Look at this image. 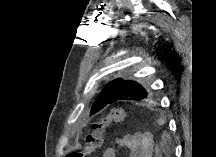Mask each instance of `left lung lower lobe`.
I'll use <instances>...</instances> for the list:
<instances>
[{
	"mask_svg": "<svg viewBox=\"0 0 216 157\" xmlns=\"http://www.w3.org/2000/svg\"><path fill=\"white\" fill-rule=\"evenodd\" d=\"M103 106L104 105H99L98 103L94 102L92 107H94L95 110L92 113L90 112L91 115H93V114L97 113L98 111H100L101 109H103L104 108Z\"/></svg>",
	"mask_w": 216,
	"mask_h": 157,
	"instance_id": "left-lung-lower-lobe-1",
	"label": "left lung lower lobe"
}]
</instances>
